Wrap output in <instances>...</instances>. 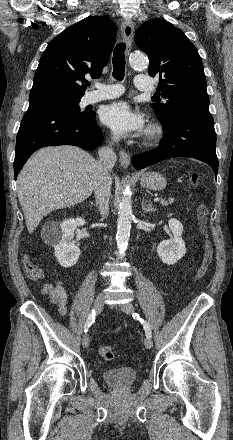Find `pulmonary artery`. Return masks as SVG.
Masks as SVG:
<instances>
[{"instance_id":"e3ab8cb5","label":"pulmonary artery","mask_w":233,"mask_h":440,"mask_svg":"<svg viewBox=\"0 0 233 440\" xmlns=\"http://www.w3.org/2000/svg\"><path fill=\"white\" fill-rule=\"evenodd\" d=\"M149 77L146 75H137L134 79L135 87L143 92L153 91L152 84L148 81ZM99 91L90 92L86 96L88 103H96L99 101L113 99L120 96L123 92V88L120 85H101Z\"/></svg>"}]
</instances>
